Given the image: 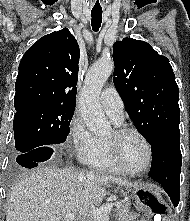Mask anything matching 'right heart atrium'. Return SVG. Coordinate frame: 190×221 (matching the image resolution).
I'll list each match as a JSON object with an SVG mask.
<instances>
[{"instance_id":"d8ad5b80","label":"right heart atrium","mask_w":190,"mask_h":221,"mask_svg":"<svg viewBox=\"0 0 190 221\" xmlns=\"http://www.w3.org/2000/svg\"><path fill=\"white\" fill-rule=\"evenodd\" d=\"M68 142L75 157L83 163H87L96 152L97 138L77 115L70 121Z\"/></svg>"}]
</instances>
